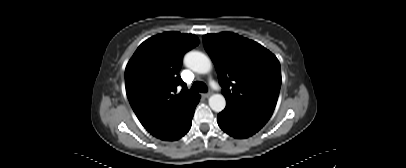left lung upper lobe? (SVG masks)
Segmentation results:
<instances>
[{"label":"left lung upper lobe","mask_w":406,"mask_h":168,"mask_svg":"<svg viewBox=\"0 0 406 168\" xmlns=\"http://www.w3.org/2000/svg\"><path fill=\"white\" fill-rule=\"evenodd\" d=\"M227 103L271 116L281 86L278 59L266 48L234 33L203 36Z\"/></svg>","instance_id":"5c2ea615"}]
</instances>
